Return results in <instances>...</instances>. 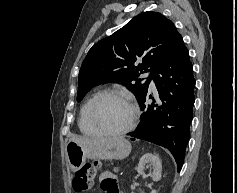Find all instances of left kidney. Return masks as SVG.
<instances>
[{"label":"left kidney","mask_w":237,"mask_h":193,"mask_svg":"<svg viewBox=\"0 0 237 193\" xmlns=\"http://www.w3.org/2000/svg\"><path fill=\"white\" fill-rule=\"evenodd\" d=\"M145 167L146 168L151 167L153 169V172L151 173L153 181L157 182L161 180L162 164L157 155H154L152 153L144 154L139 160V164L137 166V172L141 175L144 174ZM151 193H157V191L152 190Z\"/></svg>","instance_id":"obj_1"}]
</instances>
